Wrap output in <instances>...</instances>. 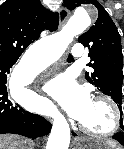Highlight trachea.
Masks as SVG:
<instances>
[{
	"mask_svg": "<svg viewBox=\"0 0 124 149\" xmlns=\"http://www.w3.org/2000/svg\"><path fill=\"white\" fill-rule=\"evenodd\" d=\"M73 56L71 54H69L68 58H67V61H73Z\"/></svg>",
	"mask_w": 124,
	"mask_h": 149,
	"instance_id": "3493384b",
	"label": "trachea"
}]
</instances>
